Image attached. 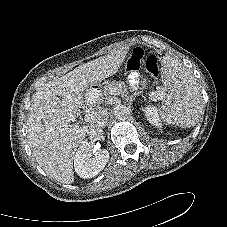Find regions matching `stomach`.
I'll use <instances>...</instances> for the list:
<instances>
[{
    "label": "stomach",
    "mask_w": 227,
    "mask_h": 227,
    "mask_svg": "<svg viewBox=\"0 0 227 227\" xmlns=\"http://www.w3.org/2000/svg\"><path fill=\"white\" fill-rule=\"evenodd\" d=\"M113 81L111 78L106 77L100 80H96L87 84L86 89L90 93H94L96 91H101L103 89L111 87Z\"/></svg>",
    "instance_id": "stomach-1"
}]
</instances>
